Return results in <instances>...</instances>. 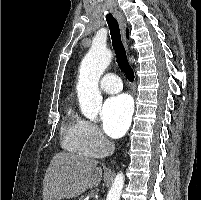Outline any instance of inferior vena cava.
Wrapping results in <instances>:
<instances>
[{"instance_id": "obj_1", "label": "inferior vena cava", "mask_w": 201, "mask_h": 200, "mask_svg": "<svg viewBox=\"0 0 201 200\" xmlns=\"http://www.w3.org/2000/svg\"><path fill=\"white\" fill-rule=\"evenodd\" d=\"M107 149L109 154H113L115 150V144L111 141H107Z\"/></svg>"}]
</instances>
